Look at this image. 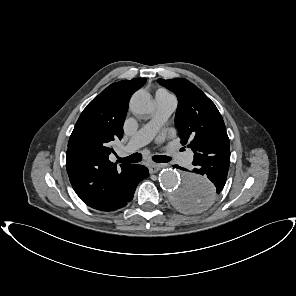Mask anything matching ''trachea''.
<instances>
[{
	"instance_id": "trachea-1",
	"label": "trachea",
	"mask_w": 296,
	"mask_h": 296,
	"mask_svg": "<svg viewBox=\"0 0 296 296\" xmlns=\"http://www.w3.org/2000/svg\"><path fill=\"white\" fill-rule=\"evenodd\" d=\"M153 161L159 163L169 162L171 160L170 157L165 155H156L152 157ZM142 160V155L140 153H133L132 155L124 158H118L119 162H127V163H138Z\"/></svg>"
}]
</instances>
